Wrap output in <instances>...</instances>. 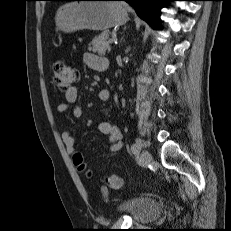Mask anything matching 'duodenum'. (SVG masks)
I'll use <instances>...</instances> for the list:
<instances>
[{
    "instance_id": "duodenum-1",
    "label": "duodenum",
    "mask_w": 231,
    "mask_h": 231,
    "mask_svg": "<svg viewBox=\"0 0 231 231\" xmlns=\"http://www.w3.org/2000/svg\"><path fill=\"white\" fill-rule=\"evenodd\" d=\"M107 67H108V63H107V64L101 65V66L98 68V70H99V71H105V70L107 69Z\"/></svg>"
}]
</instances>
